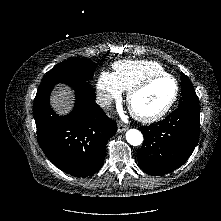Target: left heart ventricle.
<instances>
[{"instance_id": "left-heart-ventricle-1", "label": "left heart ventricle", "mask_w": 221, "mask_h": 221, "mask_svg": "<svg viewBox=\"0 0 221 221\" xmlns=\"http://www.w3.org/2000/svg\"><path fill=\"white\" fill-rule=\"evenodd\" d=\"M173 91L174 84L170 79H158L133 98L132 108L142 115L154 114L166 105Z\"/></svg>"}]
</instances>
